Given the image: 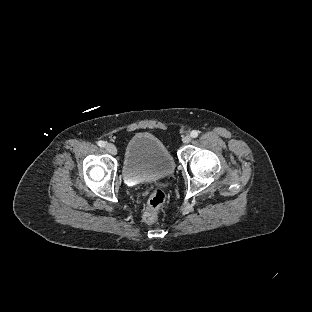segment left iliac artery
I'll return each mask as SVG.
<instances>
[{"instance_id":"1","label":"left iliac artery","mask_w":312,"mask_h":312,"mask_svg":"<svg viewBox=\"0 0 312 312\" xmlns=\"http://www.w3.org/2000/svg\"><path fill=\"white\" fill-rule=\"evenodd\" d=\"M198 134H199V131L193 130L190 135H191V137L196 138L198 136Z\"/></svg>"}]
</instances>
